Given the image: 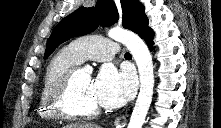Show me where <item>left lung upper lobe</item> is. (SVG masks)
<instances>
[{"mask_svg":"<svg viewBox=\"0 0 221 128\" xmlns=\"http://www.w3.org/2000/svg\"><path fill=\"white\" fill-rule=\"evenodd\" d=\"M120 2L123 27L137 33L141 38L144 37L151 30L148 27L144 6L138 0H120ZM118 17L117 8L112 0H98L96 7L78 8L55 27L48 39L44 58H48L61 43L68 39L86 35L99 25H112Z\"/></svg>","mask_w":221,"mask_h":128,"instance_id":"obj_1","label":"left lung upper lobe"}]
</instances>
